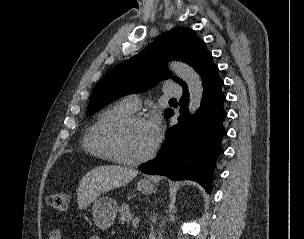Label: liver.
<instances>
[{
	"instance_id": "obj_1",
	"label": "liver",
	"mask_w": 304,
	"mask_h": 239,
	"mask_svg": "<svg viewBox=\"0 0 304 239\" xmlns=\"http://www.w3.org/2000/svg\"><path fill=\"white\" fill-rule=\"evenodd\" d=\"M137 175V170L122 166L95 167L86 173L79 183L77 191L78 208L83 210L101 194L129 183Z\"/></svg>"
}]
</instances>
